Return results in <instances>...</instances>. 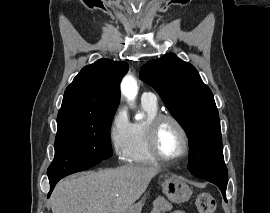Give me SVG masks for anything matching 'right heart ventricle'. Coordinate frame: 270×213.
I'll return each mask as SVG.
<instances>
[{
  "mask_svg": "<svg viewBox=\"0 0 270 213\" xmlns=\"http://www.w3.org/2000/svg\"><path fill=\"white\" fill-rule=\"evenodd\" d=\"M141 105L146 117L143 120H136L130 123L129 129L126 160L133 164L153 163L157 160L148 149L146 131L149 120L159 114L158 104L141 100Z\"/></svg>",
  "mask_w": 270,
  "mask_h": 213,
  "instance_id": "e07e8e85",
  "label": "right heart ventricle"
}]
</instances>
